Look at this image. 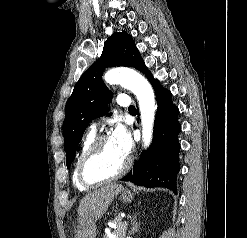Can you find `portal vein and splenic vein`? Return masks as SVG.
<instances>
[{
    "label": "portal vein and splenic vein",
    "instance_id": "18ae733b",
    "mask_svg": "<svg viewBox=\"0 0 247 238\" xmlns=\"http://www.w3.org/2000/svg\"><path fill=\"white\" fill-rule=\"evenodd\" d=\"M123 224H124V225H128V222L124 221Z\"/></svg>",
    "mask_w": 247,
    "mask_h": 238
}]
</instances>
